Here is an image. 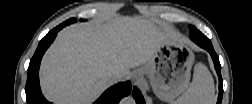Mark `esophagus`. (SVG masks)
Wrapping results in <instances>:
<instances>
[{"label":"esophagus","mask_w":252,"mask_h":104,"mask_svg":"<svg viewBox=\"0 0 252 104\" xmlns=\"http://www.w3.org/2000/svg\"><path fill=\"white\" fill-rule=\"evenodd\" d=\"M140 77V73H133L132 79H137Z\"/></svg>","instance_id":"esophagus-1"}]
</instances>
